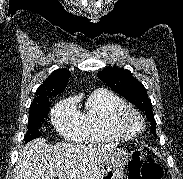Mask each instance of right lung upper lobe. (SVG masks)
Here are the masks:
<instances>
[{
    "label": "right lung upper lobe",
    "instance_id": "obj_1",
    "mask_svg": "<svg viewBox=\"0 0 183 179\" xmlns=\"http://www.w3.org/2000/svg\"><path fill=\"white\" fill-rule=\"evenodd\" d=\"M70 72L66 69L54 71L36 91V97L31 106L41 105L49 98L62 93L67 86Z\"/></svg>",
    "mask_w": 183,
    "mask_h": 179
}]
</instances>
